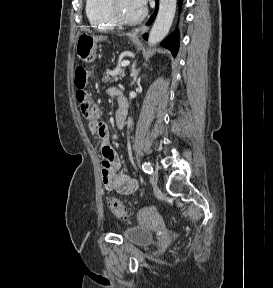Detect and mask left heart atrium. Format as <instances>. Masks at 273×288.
<instances>
[{"mask_svg":"<svg viewBox=\"0 0 273 288\" xmlns=\"http://www.w3.org/2000/svg\"><path fill=\"white\" fill-rule=\"evenodd\" d=\"M136 2L138 3V5L141 7V8H144L146 3H147V0H136Z\"/></svg>","mask_w":273,"mask_h":288,"instance_id":"1","label":"left heart atrium"}]
</instances>
